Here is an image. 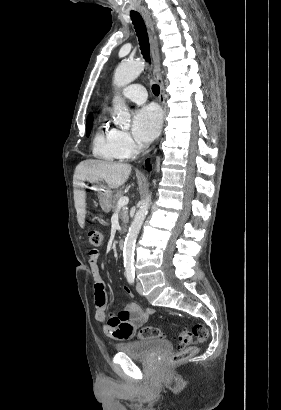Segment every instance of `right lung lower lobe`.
Returning <instances> with one entry per match:
<instances>
[{
    "label": "right lung lower lobe",
    "instance_id": "1",
    "mask_svg": "<svg viewBox=\"0 0 281 410\" xmlns=\"http://www.w3.org/2000/svg\"><path fill=\"white\" fill-rule=\"evenodd\" d=\"M148 170H151V166L148 164V160L146 161Z\"/></svg>",
    "mask_w": 281,
    "mask_h": 410
}]
</instances>
